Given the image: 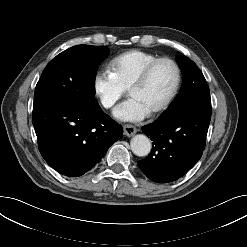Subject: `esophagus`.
<instances>
[{"label":"esophagus","instance_id":"obj_1","mask_svg":"<svg viewBox=\"0 0 247 247\" xmlns=\"http://www.w3.org/2000/svg\"><path fill=\"white\" fill-rule=\"evenodd\" d=\"M123 129H124V134L128 137L133 136L137 132L136 127L130 124L124 125Z\"/></svg>","mask_w":247,"mask_h":247}]
</instances>
